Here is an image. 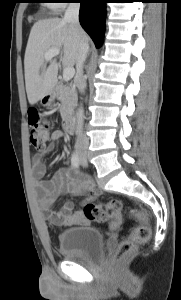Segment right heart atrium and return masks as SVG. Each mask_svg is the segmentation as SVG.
Returning <instances> with one entry per match:
<instances>
[{
    "instance_id": "d8ad5b80",
    "label": "right heart atrium",
    "mask_w": 181,
    "mask_h": 300,
    "mask_svg": "<svg viewBox=\"0 0 181 300\" xmlns=\"http://www.w3.org/2000/svg\"><path fill=\"white\" fill-rule=\"evenodd\" d=\"M53 7L55 10H61L65 7V0H54Z\"/></svg>"
}]
</instances>
